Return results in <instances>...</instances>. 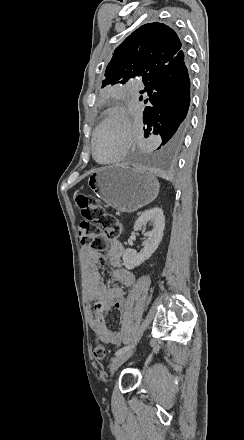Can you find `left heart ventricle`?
Masks as SVG:
<instances>
[{
  "label": "left heart ventricle",
  "mask_w": 244,
  "mask_h": 440,
  "mask_svg": "<svg viewBox=\"0 0 244 440\" xmlns=\"http://www.w3.org/2000/svg\"><path fill=\"white\" fill-rule=\"evenodd\" d=\"M117 115V114H116ZM113 123H107L104 129H102L95 141L96 156L99 160L105 161L115 156L118 149V132L117 128L124 124V118L120 114ZM116 123V124H115ZM113 130V131H112Z\"/></svg>",
  "instance_id": "obj_1"
}]
</instances>
